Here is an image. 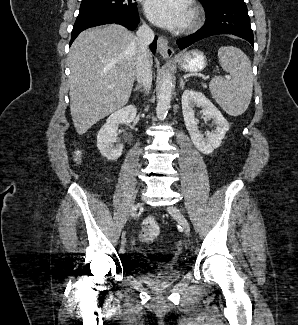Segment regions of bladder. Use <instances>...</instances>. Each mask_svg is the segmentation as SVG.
I'll return each instance as SVG.
<instances>
[{
	"instance_id": "31cf9c89",
	"label": "bladder",
	"mask_w": 298,
	"mask_h": 325,
	"mask_svg": "<svg viewBox=\"0 0 298 325\" xmlns=\"http://www.w3.org/2000/svg\"><path fill=\"white\" fill-rule=\"evenodd\" d=\"M180 277L176 269H166L154 273L141 275L139 278L154 290H163L173 285Z\"/></svg>"
}]
</instances>
